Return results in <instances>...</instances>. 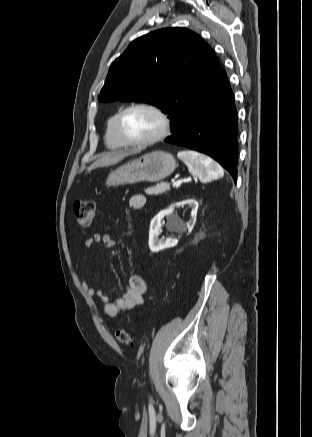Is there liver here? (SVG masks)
Returning <instances> with one entry per match:
<instances>
[{
    "instance_id": "liver-1",
    "label": "liver",
    "mask_w": 312,
    "mask_h": 437,
    "mask_svg": "<svg viewBox=\"0 0 312 437\" xmlns=\"http://www.w3.org/2000/svg\"><path fill=\"white\" fill-rule=\"evenodd\" d=\"M139 152H140V150L133 149L130 151H117V152L108 153V154L102 156L101 158L97 159L93 164H91L88 167V171L94 170V169L99 168V167H107V166L117 164L118 162L123 160L125 157L133 155V154H137Z\"/></svg>"
}]
</instances>
